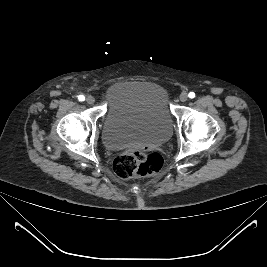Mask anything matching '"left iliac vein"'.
Segmentation results:
<instances>
[{
  "label": "left iliac vein",
  "instance_id": "4c4485c4",
  "mask_svg": "<svg viewBox=\"0 0 267 267\" xmlns=\"http://www.w3.org/2000/svg\"><path fill=\"white\" fill-rule=\"evenodd\" d=\"M187 99H188V94L186 92L181 93V95H180V101L181 102H186Z\"/></svg>",
  "mask_w": 267,
  "mask_h": 267
}]
</instances>
